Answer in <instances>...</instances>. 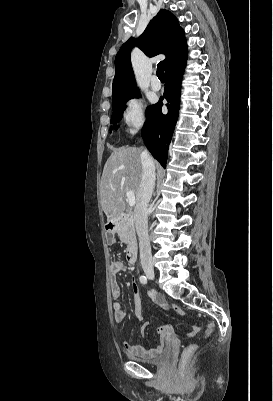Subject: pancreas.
Here are the masks:
<instances>
[{
  "mask_svg": "<svg viewBox=\"0 0 273 401\" xmlns=\"http://www.w3.org/2000/svg\"><path fill=\"white\" fill-rule=\"evenodd\" d=\"M117 231H118V235L120 237V241H123V243H126V241H128V237L130 235L129 227H127V225H125V223H117Z\"/></svg>",
  "mask_w": 273,
  "mask_h": 401,
  "instance_id": "pancreas-1",
  "label": "pancreas"
}]
</instances>
